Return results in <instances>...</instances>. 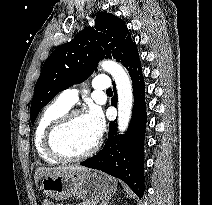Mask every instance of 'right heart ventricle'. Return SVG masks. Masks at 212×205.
I'll return each mask as SVG.
<instances>
[{
	"instance_id": "obj_1",
	"label": "right heart ventricle",
	"mask_w": 212,
	"mask_h": 205,
	"mask_svg": "<svg viewBox=\"0 0 212 205\" xmlns=\"http://www.w3.org/2000/svg\"><path fill=\"white\" fill-rule=\"evenodd\" d=\"M70 107L61 103L58 99L48 105L39 117L34 131V146L38 155L48 163L54 164L58 160L52 157L45 148V134L49 126L62 114L67 112Z\"/></svg>"
}]
</instances>
